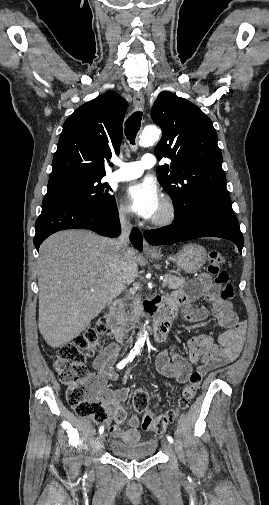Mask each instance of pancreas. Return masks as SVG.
<instances>
[{
	"label": "pancreas",
	"instance_id": "1",
	"mask_svg": "<svg viewBox=\"0 0 269 505\" xmlns=\"http://www.w3.org/2000/svg\"><path fill=\"white\" fill-rule=\"evenodd\" d=\"M163 281L165 283V286H167L168 289L175 290V289L180 288L185 283V278L176 277V276L170 275V274H165ZM132 310H133L132 318L134 320H137L142 312V306L140 304V300L138 297H136L133 301Z\"/></svg>",
	"mask_w": 269,
	"mask_h": 505
}]
</instances>
